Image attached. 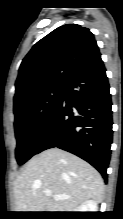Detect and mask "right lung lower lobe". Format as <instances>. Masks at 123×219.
Listing matches in <instances>:
<instances>
[{
  "instance_id": "obj_1",
  "label": "right lung lower lobe",
  "mask_w": 123,
  "mask_h": 219,
  "mask_svg": "<svg viewBox=\"0 0 123 219\" xmlns=\"http://www.w3.org/2000/svg\"><path fill=\"white\" fill-rule=\"evenodd\" d=\"M109 84L101 57L66 83L60 105L43 132L36 154L58 147L94 166L107 181L112 143Z\"/></svg>"
}]
</instances>
